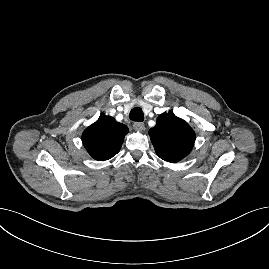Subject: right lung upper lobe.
Masks as SVG:
<instances>
[{"instance_id":"cb5924a9","label":"right lung upper lobe","mask_w":269,"mask_h":269,"mask_svg":"<svg viewBox=\"0 0 269 269\" xmlns=\"http://www.w3.org/2000/svg\"><path fill=\"white\" fill-rule=\"evenodd\" d=\"M128 128L111 116L101 115L82 135V142L88 153L98 161L116 155L123 143Z\"/></svg>"}]
</instances>
